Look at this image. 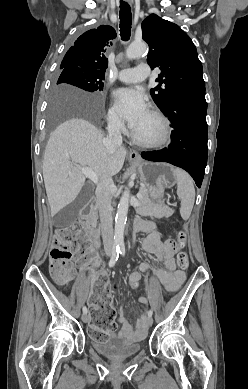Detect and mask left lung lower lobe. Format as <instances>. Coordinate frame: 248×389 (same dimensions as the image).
<instances>
[{
    "label": "left lung lower lobe",
    "instance_id": "left-lung-lower-lobe-1",
    "mask_svg": "<svg viewBox=\"0 0 248 389\" xmlns=\"http://www.w3.org/2000/svg\"><path fill=\"white\" fill-rule=\"evenodd\" d=\"M162 112L173 128L171 144L163 150L143 152L142 158L181 167L201 187L208 155L205 88L181 93Z\"/></svg>",
    "mask_w": 248,
    "mask_h": 389
}]
</instances>
